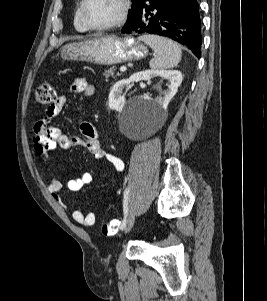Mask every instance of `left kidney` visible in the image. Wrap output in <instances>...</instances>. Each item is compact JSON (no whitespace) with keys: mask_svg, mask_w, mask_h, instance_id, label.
Returning a JSON list of instances; mask_svg holds the SVG:
<instances>
[{"mask_svg":"<svg viewBox=\"0 0 267 301\" xmlns=\"http://www.w3.org/2000/svg\"><path fill=\"white\" fill-rule=\"evenodd\" d=\"M164 77L169 80L168 89L164 92L163 96H159L155 99L146 97L148 101H153V103L160 109H164L168 106L171 99L175 96L178 91V87L182 82V73L178 70H145L134 73L129 79H123L115 83L111 89L108 97V106L111 110H116L121 112L125 106V98L121 95L122 90L125 86L129 85L131 82L137 81H149L153 77Z\"/></svg>","mask_w":267,"mask_h":301,"instance_id":"left-kidney-1","label":"left kidney"}]
</instances>
